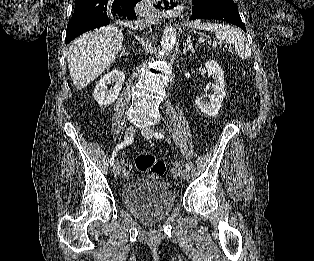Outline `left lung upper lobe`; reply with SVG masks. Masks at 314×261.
Listing matches in <instances>:
<instances>
[{"mask_svg":"<svg viewBox=\"0 0 314 261\" xmlns=\"http://www.w3.org/2000/svg\"><path fill=\"white\" fill-rule=\"evenodd\" d=\"M197 3H209V2H233V0H195Z\"/></svg>","mask_w":314,"mask_h":261,"instance_id":"1","label":"left lung upper lobe"}]
</instances>
